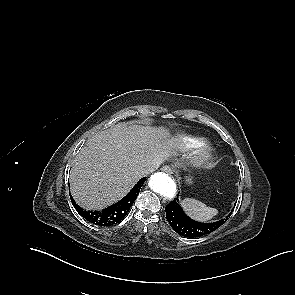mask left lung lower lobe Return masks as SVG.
Returning a JSON list of instances; mask_svg holds the SVG:
<instances>
[{
    "mask_svg": "<svg viewBox=\"0 0 295 295\" xmlns=\"http://www.w3.org/2000/svg\"><path fill=\"white\" fill-rule=\"evenodd\" d=\"M166 218L171 227L180 235L197 238L209 234L223 225L231 213L224 219L213 223H201L189 218L179 206L177 199L171 201L165 208Z\"/></svg>",
    "mask_w": 295,
    "mask_h": 295,
    "instance_id": "obj_1",
    "label": "left lung lower lobe"
}]
</instances>
